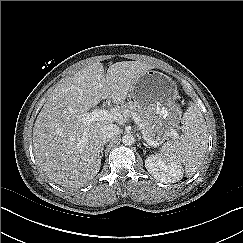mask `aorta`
<instances>
[{
  "mask_svg": "<svg viewBox=\"0 0 243 243\" xmlns=\"http://www.w3.org/2000/svg\"><path fill=\"white\" fill-rule=\"evenodd\" d=\"M134 137L131 134H125L122 137V143L126 146H130L134 143Z\"/></svg>",
  "mask_w": 243,
  "mask_h": 243,
  "instance_id": "obj_1",
  "label": "aorta"
}]
</instances>
